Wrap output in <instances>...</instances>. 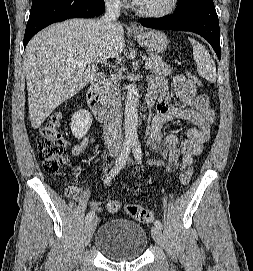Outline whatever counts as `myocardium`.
Segmentation results:
<instances>
[{"mask_svg":"<svg viewBox=\"0 0 253 271\" xmlns=\"http://www.w3.org/2000/svg\"><path fill=\"white\" fill-rule=\"evenodd\" d=\"M179 0H170L169 4L160 10H146L137 5V3L134 2V9L135 11L144 17L148 18H163L166 16L171 15L178 7Z\"/></svg>","mask_w":253,"mask_h":271,"instance_id":"f54148a6","label":"myocardium"}]
</instances>
